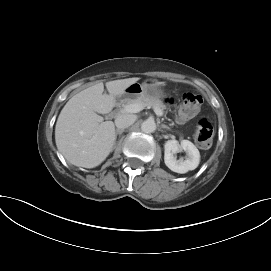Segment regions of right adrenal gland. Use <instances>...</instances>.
I'll use <instances>...</instances> for the list:
<instances>
[{"mask_svg": "<svg viewBox=\"0 0 271 271\" xmlns=\"http://www.w3.org/2000/svg\"><path fill=\"white\" fill-rule=\"evenodd\" d=\"M124 132L123 129H117L115 132V138H117V135L121 136V134Z\"/></svg>", "mask_w": 271, "mask_h": 271, "instance_id": "right-adrenal-gland-1", "label": "right adrenal gland"}]
</instances>
